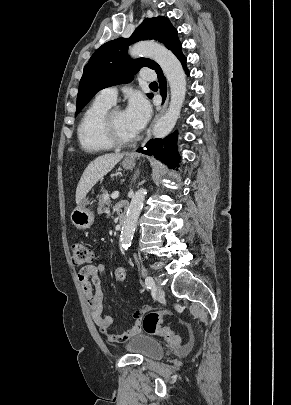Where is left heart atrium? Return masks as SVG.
Segmentation results:
<instances>
[{"mask_svg":"<svg viewBox=\"0 0 291 405\" xmlns=\"http://www.w3.org/2000/svg\"><path fill=\"white\" fill-rule=\"evenodd\" d=\"M124 112L130 128L135 134H137L148 122L151 109L148 102L144 98L134 97L131 99Z\"/></svg>","mask_w":291,"mask_h":405,"instance_id":"1","label":"left heart atrium"}]
</instances>
